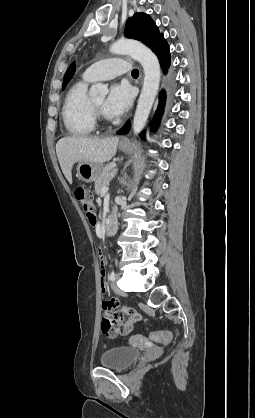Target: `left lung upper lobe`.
<instances>
[{
    "instance_id": "5c2ea615",
    "label": "left lung upper lobe",
    "mask_w": 255,
    "mask_h": 418,
    "mask_svg": "<svg viewBox=\"0 0 255 418\" xmlns=\"http://www.w3.org/2000/svg\"><path fill=\"white\" fill-rule=\"evenodd\" d=\"M125 36L141 41L153 52L166 41L151 17L145 13H136L128 19Z\"/></svg>"
}]
</instances>
